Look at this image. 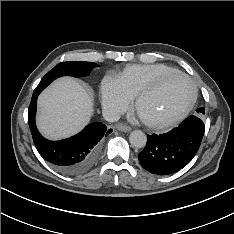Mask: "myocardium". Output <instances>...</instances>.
I'll return each mask as SVG.
<instances>
[{
    "label": "myocardium",
    "instance_id": "myocardium-1",
    "mask_svg": "<svg viewBox=\"0 0 234 234\" xmlns=\"http://www.w3.org/2000/svg\"><path fill=\"white\" fill-rule=\"evenodd\" d=\"M172 77H182L190 82L193 93L187 106L178 114L171 116V117H167V118L151 120V119H146L142 117L140 114L141 102L146 97H148L149 95L157 91L167 80H169ZM197 97H198V89H197L195 81L189 75L185 74L184 72L175 71V72L162 75L161 77L156 79L153 83H151L149 86L142 89L135 97L134 108L138 116L140 117V119L143 121L145 125L151 128L161 129V128L172 126L180 122L181 120H183L189 114V112L193 109L197 101Z\"/></svg>",
    "mask_w": 234,
    "mask_h": 234
}]
</instances>
